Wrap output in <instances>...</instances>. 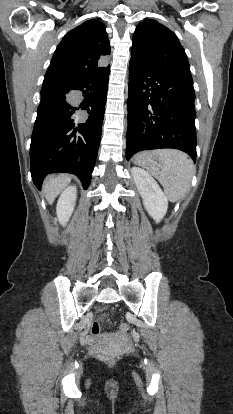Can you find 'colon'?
I'll use <instances>...</instances> for the list:
<instances>
[{
  "mask_svg": "<svg viewBox=\"0 0 233 414\" xmlns=\"http://www.w3.org/2000/svg\"><path fill=\"white\" fill-rule=\"evenodd\" d=\"M118 330L120 333H127L129 331V325L127 323H121L118 326ZM100 333V325L98 322H93L92 326H91V334L94 336H97Z\"/></svg>",
  "mask_w": 233,
  "mask_h": 414,
  "instance_id": "5ec220e1",
  "label": "colon"
}]
</instances>
